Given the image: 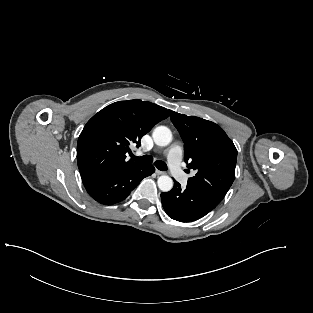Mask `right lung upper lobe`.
I'll use <instances>...</instances> for the list:
<instances>
[{"instance_id":"right-lung-upper-lobe-1","label":"right lung upper lobe","mask_w":313,"mask_h":313,"mask_svg":"<svg viewBox=\"0 0 313 313\" xmlns=\"http://www.w3.org/2000/svg\"><path fill=\"white\" fill-rule=\"evenodd\" d=\"M170 110L141 101H119L95 114L83 128L77 143V161L82 179L131 170L141 164L126 160L131 146Z\"/></svg>"}]
</instances>
